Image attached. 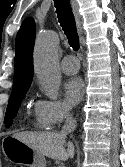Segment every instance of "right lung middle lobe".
<instances>
[{"label":"right lung middle lobe","mask_w":125,"mask_h":167,"mask_svg":"<svg viewBox=\"0 0 125 167\" xmlns=\"http://www.w3.org/2000/svg\"><path fill=\"white\" fill-rule=\"evenodd\" d=\"M27 91L28 89L11 94L4 119V123L6 124L7 128L10 127L13 118L17 115L19 106L23 98L25 97Z\"/></svg>","instance_id":"dd1d6c3e"}]
</instances>
